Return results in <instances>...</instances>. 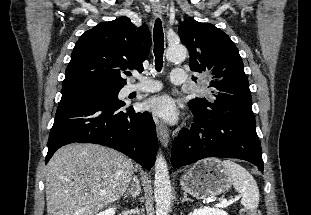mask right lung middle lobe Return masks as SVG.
<instances>
[{
  "label": "right lung middle lobe",
  "mask_w": 311,
  "mask_h": 215,
  "mask_svg": "<svg viewBox=\"0 0 311 215\" xmlns=\"http://www.w3.org/2000/svg\"><path fill=\"white\" fill-rule=\"evenodd\" d=\"M121 88L92 83H75L63 86L59 104L73 101L90 102L102 106L123 105L118 100Z\"/></svg>",
  "instance_id": "1"
}]
</instances>
